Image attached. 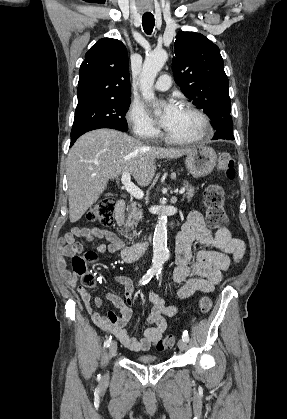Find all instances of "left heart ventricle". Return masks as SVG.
<instances>
[{"instance_id": "b2bd125f", "label": "left heart ventricle", "mask_w": 287, "mask_h": 419, "mask_svg": "<svg viewBox=\"0 0 287 419\" xmlns=\"http://www.w3.org/2000/svg\"><path fill=\"white\" fill-rule=\"evenodd\" d=\"M166 131L178 138H192L202 132V126L199 119L184 108H180L177 116Z\"/></svg>"}]
</instances>
